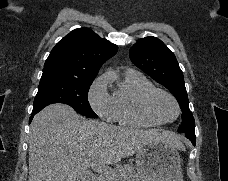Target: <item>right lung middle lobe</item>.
<instances>
[{"label": "right lung middle lobe", "instance_id": "right-lung-middle-lobe-1", "mask_svg": "<svg viewBox=\"0 0 228 181\" xmlns=\"http://www.w3.org/2000/svg\"><path fill=\"white\" fill-rule=\"evenodd\" d=\"M93 80H69L59 77H42L34 99L33 111H41L53 103L70 105L89 118H97L88 102V91Z\"/></svg>", "mask_w": 228, "mask_h": 181}]
</instances>
